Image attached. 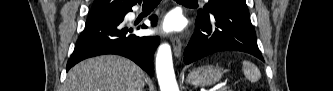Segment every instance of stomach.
<instances>
[{"mask_svg": "<svg viewBox=\"0 0 333 91\" xmlns=\"http://www.w3.org/2000/svg\"><path fill=\"white\" fill-rule=\"evenodd\" d=\"M222 77L218 67L205 65L192 70L187 77V82L194 86H208L215 84Z\"/></svg>", "mask_w": 333, "mask_h": 91, "instance_id": "1", "label": "stomach"}]
</instances>
